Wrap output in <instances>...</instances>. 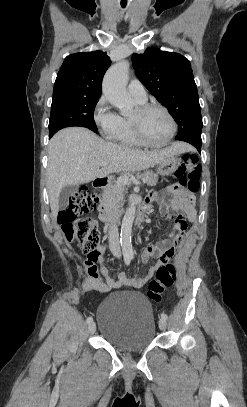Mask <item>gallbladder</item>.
<instances>
[{
  "instance_id": "gallbladder-1",
  "label": "gallbladder",
  "mask_w": 247,
  "mask_h": 407,
  "mask_svg": "<svg viewBox=\"0 0 247 407\" xmlns=\"http://www.w3.org/2000/svg\"><path fill=\"white\" fill-rule=\"evenodd\" d=\"M78 190L77 185L65 186L59 195V208L64 210L68 206L69 198L73 196Z\"/></svg>"
}]
</instances>
